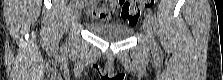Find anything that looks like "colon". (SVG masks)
<instances>
[{"label":"colon","mask_w":223,"mask_h":80,"mask_svg":"<svg viewBox=\"0 0 223 80\" xmlns=\"http://www.w3.org/2000/svg\"><path fill=\"white\" fill-rule=\"evenodd\" d=\"M92 3H104L106 5L113 6L115 12H120L121 16L126 19L130 24H136L141 11L144 8H149L154 4V0H131V1H116L109 0L103 2H92Z\"/></svg>","instance_id":"obj_1"}]
</instances>
